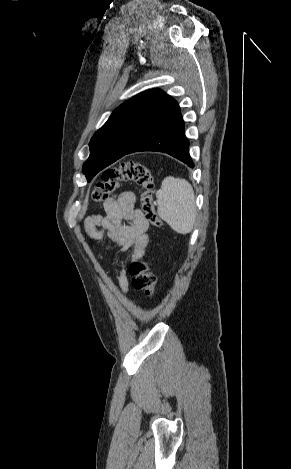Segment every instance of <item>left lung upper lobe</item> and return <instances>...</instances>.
I'll use <instances>...</instances> for the list:
<instances>
[{"mask_svg":"<svg viewBox=\"0 0 291 469\" xmlns=\"http://www.w3.org/2000/svg\"><path fill=\"white\" fill-rule=\"evenodd\" d=\"M178 107L177 101L160 89L144 91L121 104L89 143L90 156L83 164L87 180L165 122Z\"/></svg>","mask_w":291,"mask_h":469,"instance_id":"1","label":"left lung upper lobe"}]
</instances>
